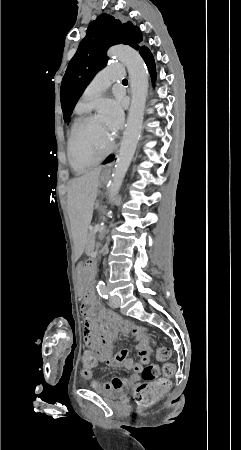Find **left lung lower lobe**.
<instances>
[{"mask_svg": "<svg viewBox=\"0 0 241 450\" xmlns=\"http://www.w3.org/2000/svg\"><path fill=\"white\" fill-rule=\"evenodd\" d=\"M140 55H141L142 58L144 59L146 65H147V67H148V69H149V72H150V74H151V77H152V79H153V81H154V80H155V77H156V73H155V62H154L153 55L151 54V52H150V50H149L148 48H147V49H144V50L140 53ZM113 159H114V156H109V157H107V159L105 160L104 164L113 161Z\"/></svg>", "mask_w": 241, "mask_h": 450, "instance_id": "obj_1", "label": "left lung lower lobe"}]
</instances>
